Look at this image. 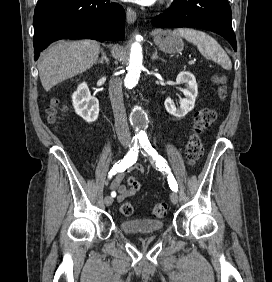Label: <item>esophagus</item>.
<instances>
[{
	"label": "esophagus",
	"instance_id": "obj_1",
	"mask_svg": "<svg viewBox=\"0 0 272 282\" xmlns=\"http://www.w3.org/2000/svg\"><path fill=\"white\" fill-rule=\"evenodd\" d=\"M126 20H127V22H128L129 24L134 23L135 20H136V13H135V11H134L132 8H130V7H128V8L126 9Z\"/></svg>",
	"mask_w": 272,
	"mask_h": 282
}]
</instances>
